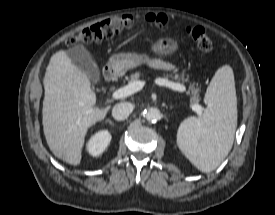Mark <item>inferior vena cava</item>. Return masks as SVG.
<instances>
[{
    "label": "inferior vena cava",
    "instance_id": "1",
    "mask_svg": "<svg viewBox=\"0 0 275 215\" xmlns=\"http://www.w3.org/2000/svg\"><path fill=\"white\" fill-rule=\"evenodd\" d=\"M133 111V105L129 102L116 104L112 109V116L117 121L125 120Z\"/></svg>",
    "mask_w": 275,
    "mask_h": 215
}]
</instances>
